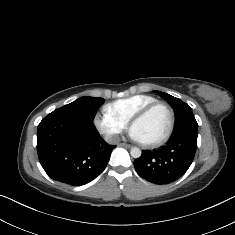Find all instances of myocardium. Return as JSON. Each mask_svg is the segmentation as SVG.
<instances>
[{
  "instance_id": "myocardium-1",
  "label": "myocardium",
  "mask_w": 235,
  "mask_h": 235,
  "mask_svg": "<svg viewBox=\"0 0 235 235\" xmlns=\"http://www.w3.org/2000/svg\"><path fill=\"white\" fill-rule=\"evenodd\" d=\"M158 108H163L167 111V113L169 114V118H170V125H169L167 133L163 137H161L153 142H150V143L140 142V144L144 148H147V149H152V148H155V147H158V146L164 144L173 135V132L175 129V124H176V118H175V113H174L173 109L167 103L155 102V103H152V104L148 105L147 107L143 108L140 112L135 114L133 116V118L131 119L130 126L132 127L135 122L146 118L152 111H154L155 109H158Z\"/></svg>"
}]
</instances>
